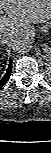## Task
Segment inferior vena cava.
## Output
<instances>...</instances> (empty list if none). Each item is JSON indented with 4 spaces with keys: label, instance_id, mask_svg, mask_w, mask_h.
Wrapping results in <instances>:
<instances>
[{
    "label": "inferior vena cava",
    "instance_id": "602c4592",
    "mask_svg": "<svg viewBox=\"0 0 51 153\" xmlns=\"http://www.w3.org/2000/svg\"><path fill=\"white\" fill-rule=\"evenodd\" d=\"M11 39V34H1L0 41L1 43H6Z\"/></svg>",
    "mask_w": 51,
    "mask_h": 153
}]
</instances>
